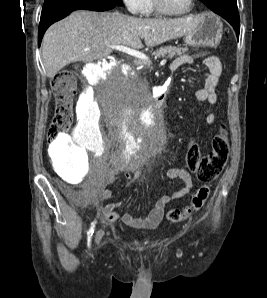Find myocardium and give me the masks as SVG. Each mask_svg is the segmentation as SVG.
Instances as JSON below:
<instances>
[{
	"label": "myocardium",
	"mask_w": 267,
	"mask_h": 298,
	"mask_svg": "<svg viewBox=\"0 0 267 298\" xmlns=\"http://www.w3.org/2000/svg\"><path fill=\"white\" fill-rule=\"evenodd\" d=\"M152 2H153L154 10L158 14L164 15V16H169V17H181V16L187 15L192 11L194 4H195V0H190L189 6L187 7L186 10L179 12V13H174V12H171L165 8L162 0H152Z\"/></svg>",
	"instance_id": "myocardium-1"
}]
</instances>
